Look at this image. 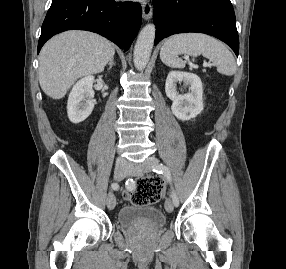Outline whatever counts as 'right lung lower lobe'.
Wrapping results in <instances>:
<instances>
[{"instance_id": "right-lung-lower-lobe-1", "label": "right lung lower lobe", "mask_w": 286, "mask_h": 269, "mask_svg": "<svg viewBox=\"0 0 286 269\" xmlns=\"http://www.w3.org/2000/svg\"><path fill=\"white\" fill-rule=\"evenodd\" d=\"M141 25V6L114 0H53L42 25L38 53L53 35L66 30L101 34L127 50Z\"/></svg>"}]
</instances>
